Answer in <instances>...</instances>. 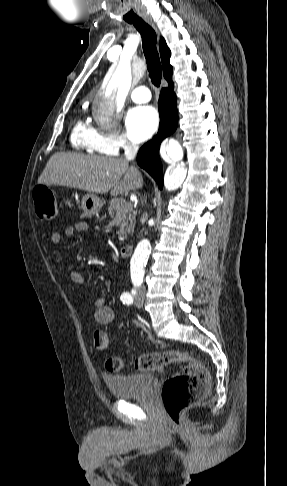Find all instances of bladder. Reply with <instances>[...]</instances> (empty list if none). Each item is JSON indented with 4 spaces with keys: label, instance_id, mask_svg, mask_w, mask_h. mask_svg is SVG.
Segmentation results:
<instances>
[{
    "label": "bladder",
    "instance_id": "obj_1",
    "mask_svg": "<svg viewBox=\"0 0 287 486\" xmlns=\"http://www.w3.org/2000/svg\"><path fill=\"white\" fill-rule=\"evenodd\" d=\"M104 380L115 397L128 399L146 395L152 389L155 375L152 373L107 375Z\"/></svg>",
    "mask_w": 287,
    "mask_h": 486
}]
</instances>
